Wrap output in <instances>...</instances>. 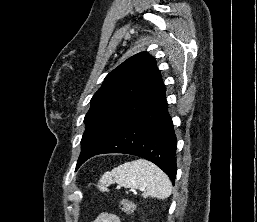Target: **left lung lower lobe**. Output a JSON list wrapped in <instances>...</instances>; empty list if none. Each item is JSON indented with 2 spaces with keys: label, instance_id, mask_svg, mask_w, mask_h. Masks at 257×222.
<instances>
[{
  "label": "left lung lower lobe",
  "instance_id": "left-lung-lower-lobe-1",
  "mask_svg": "<svg viewBox=\"0 0 257 222\" xmlns=\"http://www.w3.org/2000/svg\"><path fill=\"white\" fill-rule=\"evenodd\" d=\"M167 107L164 92L94 155L125 153L142 157L161 168L174 184L177 172V139Z\"/></svg>",
  "mask_w": 257,
  "mask_h": 222
}]
</instances>
